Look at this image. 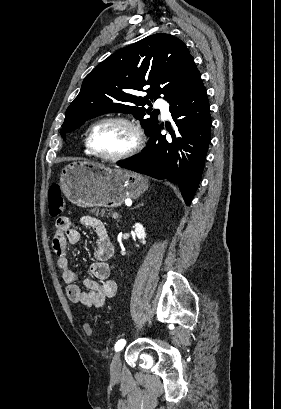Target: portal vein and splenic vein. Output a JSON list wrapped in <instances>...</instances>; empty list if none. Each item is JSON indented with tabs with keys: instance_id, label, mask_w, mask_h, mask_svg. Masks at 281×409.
<instances>
[{
	"instance_id": "18ae733b",
	"label": "portal vein and splenic vein",
	"mask_w": 281,
	"mask_h": 409,
	"mask_svg": "<svg viewBox=\"0 0 281 409\" xmlns=\"http://www.w3.org/2000/svg\"><path fill=\"white\" fill-rule=\"evenodd\" d=\"M110 216L113 217V219H117V217L120 216V213L119 212H111Z\"/></svg>"
}]
</instances>
